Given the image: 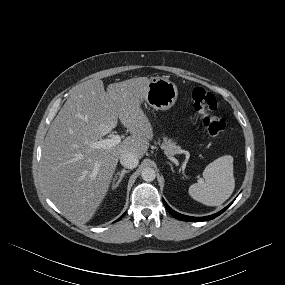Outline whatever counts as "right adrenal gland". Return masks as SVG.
Returning a JSON list of instances; mask_svg holds the SVG:
<instances>
[{
  "instance_id": "obj_1",
  "label": "right adrenal gland",
  "mask_w": 285,
  "mask_h": 285,
  "mask_svg": "<svg viewBox=\"0 0 285 285\" xmlns=\"http://www.w3.org/2000/svg\"><path fill=\"white\" fill-rule=\"evenodd\" d=\"M130 172V170H125V169H123L121 172H117L116 174H115V178L113 179V181H114V185H113V189H116L118 186H119V184L121 183V181H122V179H123V177H124V175L126 174V173H129Z\"/></svg>"
}]
</instances>
